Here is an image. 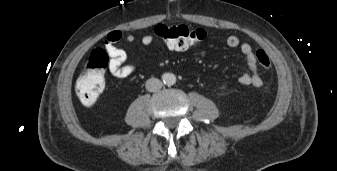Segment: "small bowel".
Masks as SVG:
<instances>
[{
	"instance_id": "obj_1",
	"label": "small bowel",
	"mask_w": 337,
	"mask_h": 171,
	"mask_svg": "<svg viewBox=\"0 0 337 171\" xmlns=\"http://www.w3.org/2000/svg\"><path fill=\"white\" fill-rule=\"evenodd\" d=\"M122 40L129 44H132L136 41V37L133 34L124 35L120 31H112L107 34L104 40V46L109 56V72L114 77L119 79L128 78L132 76L136 71L135 65L126 63V51L116 45ZM153 42L154 38L152 35L147 34L141 38V44L143 46H151ZM226 43L231 48H240V51L243 54L247 67L249 69L248 73H244L239 77V82L242 85H251L255 88H260L263 85V81L257 70V60L253 52L252 46L248 43H241L240 39L234 35L229 36L226 40Z\"/></svg>"
}]
</instances>
